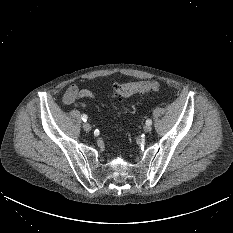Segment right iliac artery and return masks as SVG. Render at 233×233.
Segmentation results:
<instances>
[{
    "label": "right iliac artery",
    "mask_w": 233,
    "mask_h": 233,
    "mask_svg": "<svg viewBox=\"0 0 233 233\" xmlns=\"http://www.w3.org/2000/svg\"><path fill=\"white\" fill-rule=\"evenodd\" d=\"M81 118H82V120H83L84 122H86V121H87V119H88V117H87V115H86V114L81 115Z\"/></svg>",
    "instance_id": "obj_1"
}]
</instances>
